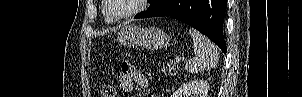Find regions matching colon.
<instances>
[{
    "label": "colon",
    "instance_id": "1",
    "mask_svg": "<svg viewBox=\"0 0 302 97\" xmlns=\"http://www.w3.org/2000/svg\"><path fill=\"white\" fill-rule=\"evenodd\" d=\"M170 72H172V71L170 70ZM99 96L100 97H115L114 87L111 85H103L100 88Z\"/></svg>",
    "mask_w": 302,
    "mask_h": 97
}]
</instances>
